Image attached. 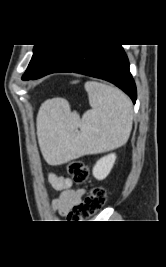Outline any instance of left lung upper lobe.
Here are the masks:
<instances>
[{
    "label": "left lung upper lobe",
    "instance_id": "5c2ea615",
    "mask_svg": "<svg viewBox=\"0 0 166 267\" xmlns=\"http://www.w3.org/2000/svg\"><path fill=\"white\" fill-rule=\"evenodd\" d=\"M56 44L48 45H35L33 49V56L28 65L25 74L22 76V80H30L33 78L45 58L52 52L56 47Z\"/></svg>",
    "mask_w": 166,
    "mask_h": 267
}]
</instances>
